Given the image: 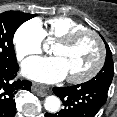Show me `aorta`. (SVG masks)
<instances>
[{
	"mask_svg": "<svg viewBox=\"0 0 117 117\" xmlns=\"http://www.w3.org/2000/svg\"><path fill=\"white\" fill-rule=\"evenodd\" d=\"M61 101L57 96H48L45 99L44 107L47 111L55 113L59 110Z\"/></svg>",
	"mask_w": 117,
	"mask_h": 117,
	"instance_id": "obj_1",
	"label": "aorta"
}]
</instances>
